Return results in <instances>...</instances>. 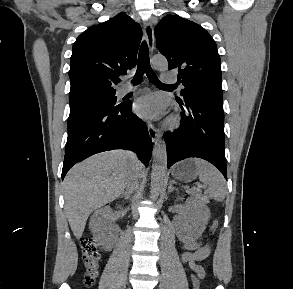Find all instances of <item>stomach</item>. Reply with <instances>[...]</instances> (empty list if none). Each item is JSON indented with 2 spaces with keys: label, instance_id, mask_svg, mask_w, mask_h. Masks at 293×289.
<instances>
[{
  "label": "stomach",
  "instance_id": "0dacf381",
  "mask_svg": "<svg viewBox=\"0 0 293 289\" xmlns=\"http://www.w3.org/2000/svg\"><path fill=\"white\" fill-rule=\"evenodd\" d=\"M172 175L179 181L191 182L198 176V169L193 159H187L174 166Z\"/></svg>",
  "mask_w": 293,
  "mask_h": 289
}]
</instances>
